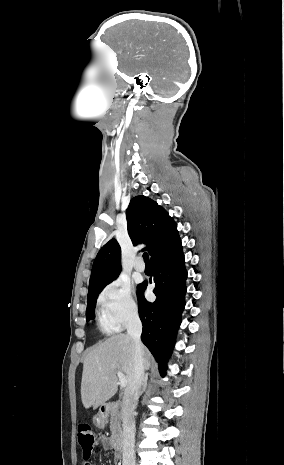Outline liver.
<instances>
[{
    "mask_svg": "<svg viewBox=\"0 0 284 465\" xmlns=\"http://www.w3.org/2000/svg\"><path fill=\"white\" fill-rule=\"evenodd\" d=\"M144 369L151 367V355L143 347ZM117 371L127 379V387L132 381L133 339L128 335H113L86 355L83 363L81 401L85 409L106 405L117 393Z\"/></svg>",
    "mask_w": 284,
    "mask_h": 465,
    "instance_id": "6515ba94",
    "label": "liver"
}]
</instances>
